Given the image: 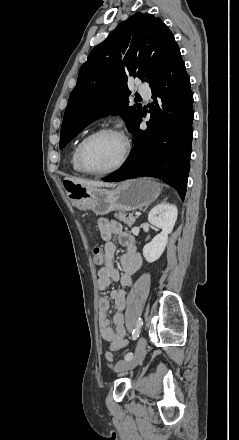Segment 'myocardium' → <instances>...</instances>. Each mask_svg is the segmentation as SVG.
I'll list each match as a JSON object with an SVG mask.
<instances>
[{"label":"myocardium","mask_w":239,"mask_h":440,"mask_svg":"<svg viewBox=\"0 0 239 440\" xmlns=\"http://www.w3.org/2000/svg\"><path fill=\"white\" fill-rule=\"evenodd\" d=\"M104 134H113V135L120 136L123 140V143H124L123 153H122V156H121L119 162L117 163V165L115 167L108 169V170H104V171H94V170L89 169L88 166L86 165L85 159H84V151L90 141H92L96 137H98L100 135H104ZM130 150H131L130 142H129L128 138L126 137V135L121 130H119L115 127H101L99 129L89 133L88 135H86L83 138V140L80 142L78 150H77V162H78L80 169L85 174H88L91 176H97V177L110 175V174L118 172L125 165L126 161L128 160V157L130 155Z\"/></svg>","instance_id":"1"}]
</instances>
